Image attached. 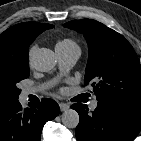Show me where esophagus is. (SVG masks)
I'll list each match as a JSON object with an SVG mask.
<instances>
[{
  "mask_svg": "<svg viewBox=\"0 0 141 141\" xmlns=\"http://www.w3.org/2000/svg\"><path fill=\"white\" fill-rule=\"evenodd\" d=\"M59 107H60V110H61L62 112H64V111H66V110L69 109V105L66 104V103H60V104H59Z\"/></svg>",
  "mask_w": 141,
  "mask_h": 141,
  "instance_id": "34e87169",
  "label": "esophagus"
}]
</instances>
